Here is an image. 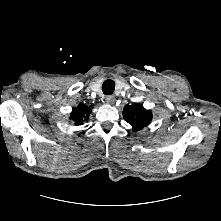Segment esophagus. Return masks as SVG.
Segmentation results:
<instances>
[{
    "mask_svg": "<svg viewBox=\"0 0 221 221\" xmlns=\"http://www.w3.org/2000/svg\"><path fill=\"white\" fill-rule=\"evenodd\" d=\"M105 100L108 104H113L115 101V97L113 95H108L106 96Z\"/></svg>",
    "mask_w": 221,
    "mask_h": 221,
    "instance_id": "1",
    "label": "esophagus"
}]
</instances>
